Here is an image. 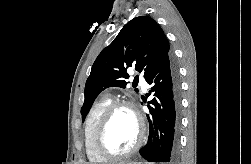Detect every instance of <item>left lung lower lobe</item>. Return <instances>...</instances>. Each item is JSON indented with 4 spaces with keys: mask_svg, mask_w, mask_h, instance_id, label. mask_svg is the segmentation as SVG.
Returning <instances> with one entry per match:
<instances>
[{
    "mask_svg": "<svg viewBox=\"0 0 251 164\" xmlns=\"http://www.w3.org/2000/svg\"><path fill=\"white\" fill-rule=\"evenodd\" d=\"M146 82L151 85L147 96L154 97L148 102V141L139 153L148 162L173 164L178 152L181 102L179 74L171 54L150 73Z\"/></svg>",
    "mask_w": 251,
    "mask_h": 164,
    "instance_id": "0a47b994",
    "label": "left lung lower lobe"
}]
</instances>
